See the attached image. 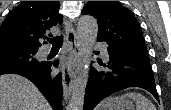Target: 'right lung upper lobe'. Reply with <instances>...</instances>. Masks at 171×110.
Here are the masks:
<instances>
[{
  "instance_id": "right-lung-upper-lobe-1",
  "label": "right lung upper lobe",
  "mask_w": 171,
  "mask_h": 110,
  "mask_svg": "<svg viewBox=\"0 0 171 110\" xmlns=\"http://www.w3.org/2000/svg\"><path fill=\"white\" fill-rule=\"evenodd\" d=\"M59 8V1L20 3L9 12L1 25L0 48L23 47L38 50L41 46L39 39L45 37V32L63 21L58 13Z\"/></svg>"
}]
</instances>
